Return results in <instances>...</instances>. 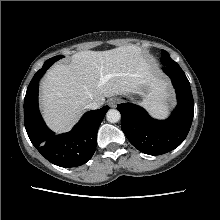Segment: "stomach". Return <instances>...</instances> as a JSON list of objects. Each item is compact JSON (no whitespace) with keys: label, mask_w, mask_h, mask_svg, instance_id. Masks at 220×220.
Instances as JSON below:
<instances>
[{"label":"stomach","mask_w":220,"mask_h":220,"mask_svg":"<svg viewBox=\"0 0 220 220\" xmlns=\"http://www.w3.org/2000/svg\"><path fill=\"white\" fill-rule=\"evenodd\" d=\"M136 94L141 97H145L149 93V86L148 84H142L136 89Z\"/></svg>","instance_id":"0dacf381"}]
</instances>
